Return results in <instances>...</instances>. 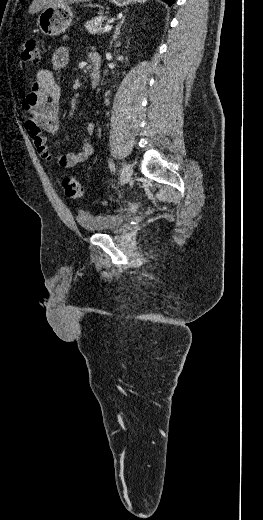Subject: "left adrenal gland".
Returning <instances> with one entry per match:
<instances>
[{
    "instance_id": "1",
    "label": "left adrenal gland",
    "mask_w": 263,
    "mask_h": 520,
    "mask_svg": "<svg viewBox=\"0 0 263 520\" xmlns=\"http://www.w3.org/2000/svg\"><path fill=\"white\" fill-rule=\"evenodd\" d=\"M125 17L126 16H123L122 19L120 20V22L118 23V25L116 26V29H115V32H114V35H113V40L114 41L118 38V36L121 33V28H122L123 23L125 21Z\"/></svg>"
}]
</instances>
